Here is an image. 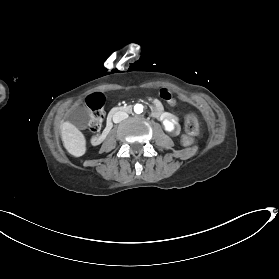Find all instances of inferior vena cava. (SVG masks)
Wrapping results in <instances>:
<instances>
[{"label": "inferior vena cava", "mask_w": 279, "mask_h": 279, "mask_svg": "<svg viewBox=\"0 0 279 279\" xmlns=\"http://www.w3.org/2000/svg\"><path fill=\"white\" fill-rule=\"evenodd\" d=\"M128 118V114L126 112H115L114 115H113V121L114 123H119L121 122L122 120Z\"/></svg>", "instance_id": "1"}]
</instances>
